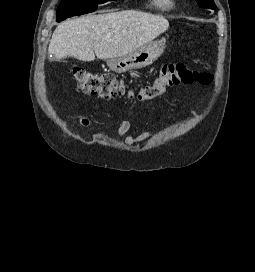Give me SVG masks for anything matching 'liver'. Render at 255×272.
<instances>
[{
  "instance_id": "liver-1",
  "label": "liver",
  "mask_w": 255,
  "mask_h": 272,
  "mask_svg": "<svg viewBox=\"0 0 255 272\" xmlns=\"http://www.w3.org/2000/svg\"><path fill=\"white\" fill-rule=\"evenodd\" d=\"M168 27L163 16L135 10L82 16L56 27L48 51L56 60H114L151 43Z\"/></svg>"
}]
</instances>
